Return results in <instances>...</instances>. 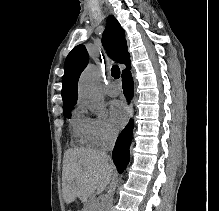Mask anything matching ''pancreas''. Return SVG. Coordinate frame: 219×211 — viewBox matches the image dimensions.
<instances>
[{"mask_svg": "<svg viewBox=\"0 0 219 211\" xmlns=\"http://www.w3.org/2000/svg\"><path fill=\"white\" fill-rule=\"evenodd\" d=\"M96 200H85L86 209L85 211H98L100 209L99 205H96Z\"/></svg>", "mask_w": 219, "mask_h": 211, "instance_id": "1", "label": "pancreas"}]
</instances>
